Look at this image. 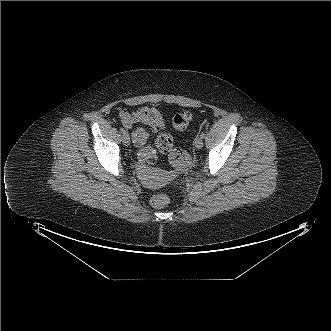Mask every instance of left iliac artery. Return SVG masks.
Listing matches in <instances>:
<instances>
[{"label": "left iliac artery", "instance_id": "left-iliac-artery-1", "mask_svg": "<svg viewBox=\"0 0 331 331\" xmlns=\"http://www.w3.org/2000/svg\"><path fill=\"white\" fill-rule=\"evenodd\" d=\"M200 137H201V138H204V137H205V133H204V132H201V133H200Z\"/></svg>", "mask_w": 331, "mask_h": 331}]
</instances>
